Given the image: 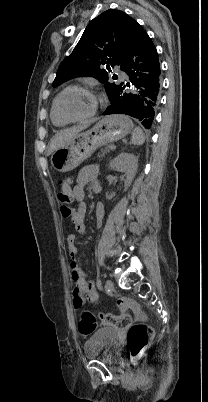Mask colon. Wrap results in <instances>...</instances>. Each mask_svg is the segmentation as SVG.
I'll return each instance as SVG.
<instances>
[{"mask_svg": "<svg viewBox=\"0 0 208 402\" xmlns=\"http://www.w3.org/2000/svg\"><path fill=\"white\" fill-rule=\"evenodd\" d=\"M73 179L60 178L58 180V200L61 202V213L65 219L76 218V213L71 208L74 201ZM120 315L115 313H94L89 310L83 311L78 323V330L82 336L93 333L98 324L113 325L119 328L127 327L128 346L132 357H136L146 346L149 338L154 336L153 324H133L130 309L137 310V306L131 303L130 297H119ZM79 305L82 300L79 299Z\"/></svg>", "mask_w": 208, "mask_h": 402, "instance_id": "1", "label": "colon"}]
</instances>
